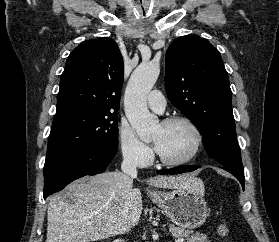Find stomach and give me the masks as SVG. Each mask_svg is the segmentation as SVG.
<instances>
[{"label":"stomach","instance_id":"1","mask_svg":"<svg viewBox=\"0 0 279 242\" xmlns=\"http://www.w3.org/2000/svg\"><path fill=\"white\" fill-rule=\"evenodd\" d=\"M150 197L174 224L184 230L200 227L208 216L201 189L154 191Z\"/></svg>","mask_w":279,"mask_h":242}]
</instances>
